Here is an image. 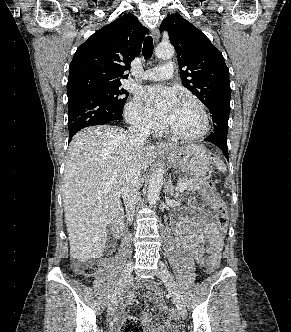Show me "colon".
Segmentation results:
<instances>
[{
    "instance_id": "colon-1",
    "label": "colon",
    "mask_w": 291,
    "mask_h": 332,
    "mask_svg": "<svg viewBox=\"0 0 291 332\" xmlns=\"http://www.w3.org/2000/svg\"><path fill=\"white\" fill-rule=\"evenodd\" d=\"M202 193L215 211L219 226L225 228L228 224V212L225 203L217 195L215 185L212 182L206 183L202 189ZM219 264V256L211 255L208 258L207 265L210 270H216L219 267ZM77 268L86 277H90L93 274V267L91 265H78ZM119 332H143V325L136 319L127 318L121 322Z\"/></svg>"
}]
</instances>
